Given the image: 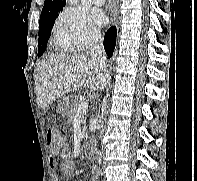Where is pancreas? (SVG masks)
<instances>
[{
    "instance_id": "pancreas-1",
    "label": "pancreas",
    "mask_w": 197,
    "mask_h": 181,
    "mask_svg": "<svg viewBox=\"0 0 197 181\" xmlns=\"http://www.w3.org/2000/svg\"><path fill=\"white\" fill-rule=\"evenodd\" d=\"M81 104V101L79 100V96H76L74 99V102L71 106L70 112H69V121H72L74 117L77 115L78 107ZM86 113H82L80 115L81 117V124H82V133L84 138H87V128H86Z\"/></svg>"
}]
</instances>
